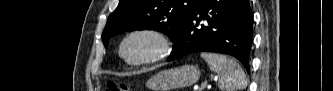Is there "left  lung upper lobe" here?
Returning <instances> with one entry per match:
<instances>
[{"label": "left lung upper lobe", "instance_id": "left-lung-upper-lobe-1", "mask_svg": "<svg viewBox=\"0 0 333 91\" xmlns=\"http://www.w3.org/2000/svg\"><path fill=\"white\" fill-rule=\"evenodd\" d=\"M199 1L120 0L103 31L104 45L108 46V40L112 36L143 29L161 31L173 41Z\"/></svg>", "mask_w": 333, "mask_h": 91}]
</instances>
